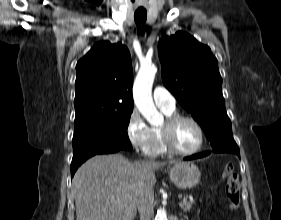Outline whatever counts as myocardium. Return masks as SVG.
Listing matches in <instances>:
<instances>
[{"instance_id": "obj_1", "label": "myocardium", "mask_w": 281, "mask_h": 220, "mask_svg": "<svg viewBox=\"0 0 281 220\" xmlns=\"http://www.w3.org/2000/svg\"><path fill=\"white\" fill-rule=\"evenodd\" d=\"M181 121H188L190 123H192L199 134V142L197 144V146L189 151H182L179 150L173 142V138H172V133H173V129L176 126V124H178ZM160 134H161V139L163 142L164 147L166 148V150L169 153L172 154H176V155H180V156H191L196 154L197 152H199L203 146L204 143V131L203 128L201 126V124L192 116L189 115H183V114H174L171 115L169 117H167L164 125L160 128Z\"/></svg>"}]
</instances>
